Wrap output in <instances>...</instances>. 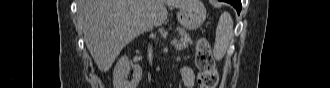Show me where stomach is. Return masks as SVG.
<instances>
[{"label": "stomach", "instance_id": "1", "mask_svg": "<svg viewBox=\"0 0 330 88\" xmlns=\"http://www.w3.org/2000/svg\"><path fill=\"white\" fill-rule=\"evenodd\" d=\"M206 8L200 0H190L177 14L178 22L187 30L198 29L206 19Z\"/></svg>", "mask_w": 330, "mask_h": 88}]
</instances>
